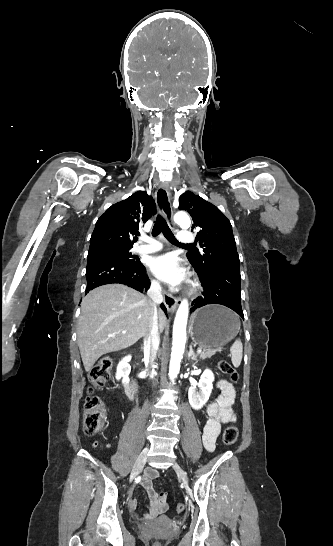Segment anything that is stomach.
I'll return each mask as SVG.
<instances>
[{
	"label": "stomach",
	"instance_id": "stomach-1",
	"mask_svg": "<svg viewBox=\"0 0 333 546\" xmlns=\"http://www.w3.org/2000/svg\"><path fill=\"white\" fill-rule=\"evenodd\" d=\"M238 318L226 307L207 305L198 309L191 321V338L199 347L218 349L238 333Z\"/></svg>",
	"mask_w": 333,
	"mask_h": 546
}]
</instances>
